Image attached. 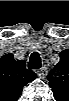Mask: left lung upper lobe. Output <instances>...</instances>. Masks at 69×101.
Returning <instances> with one entry per match:
<instances>
[{"instance_id":"obj_1","label":"left lung upper lobe","mask_w":69,"mask_h":101,"mask_svg":"<svg viewBox=\"0 0 69 101\" xmlns=\"http://www.w3.org/2000/svg\"><path fill=\"white\" fill-rule=\"evenodd\" d=\"M57 71V73H55ZM59 75V77H56ZM68 77V67L67 63L63 62L62 59L60 62L55 66L53 70L48 75L49 86L52 88L54 92L59 86H63L64 83L67 81Z\"/></svg>"}]
</instances>
